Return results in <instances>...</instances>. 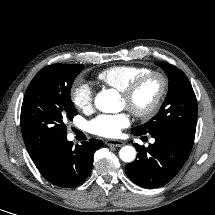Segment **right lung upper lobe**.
Returning <instances> with one entry per match:
<instances>
[{
  "label": "right lung upper lobe",
  "mask_w": 215,
  "mask_h": 215,
  "mask_svg": "<svg viewBox=\"0 0 215 215\" xmlns=\"http://www.w3.org/2000/svg\"><path fill=\"white\" fill-rule=\"evenodd\" d=\"M28 150V149H27ZM49 150H45V151H40V152H32V151H29V154H30V157L32 159V161L34 162V164H39L43 157L45 156V154L48 152Z\"/></svg>",
  "instance_id": "cb5924a9"
}]
</instances>
